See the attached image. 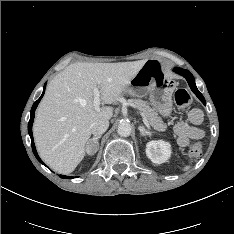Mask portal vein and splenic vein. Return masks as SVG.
Instances as JSON below:
<instances>
[{
  "mask_svg": "<svg viewBox=\"0 0 234 234\" xmlns=\"http://www.w3.org/2000/svg\"><path fill=\"white\" fill-rule=\"evenodd\" d=\"M93 93H94L93 105H94V107L96 109H99V106H100V91L98 90V88H94ZM143 122L149 128V123H148V121H147V119L145 117H143Z\"/></svg>",
  "mask_w": 234,
  "mask_h": 234,
  "instance_id": "18ae733b",
  "label": "portal vein and splenic vein"
}]
</instances>
